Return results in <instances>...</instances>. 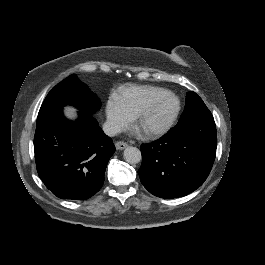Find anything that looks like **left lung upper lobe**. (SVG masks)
<instances>
[{"instance_id":"5c2ea615","label":"left lung upper lobe","mask_w":265,"mask_h":265,"mask_svg":"<svg viewBox=\"0 0 265 265\" xmlns=\"http://www.w3.org/2000/svg\"><path fill=\"white\" fill-rule=\"evenodd\" d=\"M207 110L208 108L195 92L187 93L185 109L180 120L186 119Z\"/></svg>"}]
</instances>
